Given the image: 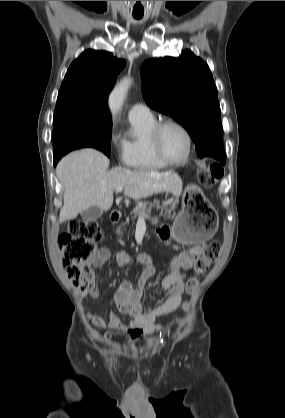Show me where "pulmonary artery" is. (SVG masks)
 Masks as SVG:
<instances>
[{
    "label": "pulmonary artery",
    "mask_w": 285,
    "mask_h": 418,
    "mask_svg": "<svg viewBox=\"0 0 285 418\" xmlns=\"http://www.w3.org/2000/svg\"><path fill=\"white\" fill-rule=\"evenodd\" d=\"M130 121L135 120H149L153 118L150 109L142 103L133 104L128 112Z\"/></svg>",
    "instance_id": "e3ab8cb5"
}]
</instances>
